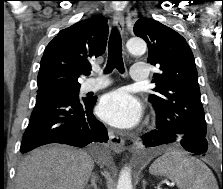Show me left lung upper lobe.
I'll list each match as a JSON object with an SVG mask.
<instances>
[{"mask_svg":"<svg viewBox=\"0 0 223 189\" xmlns=\"http://www.w3.org/2000/svg\"><path fill=\"white\" fill-rule=\"evenodd\" d=\"M134 33L148 45V60L160 73L153 77L155 94L149 101L162 130L206 138V121L200 100L198 74L186 40L173 29L150 18H140Z\"/></svg>","mask_w":223,"mask_h":189,"instance_id":"obj_1","label":"left lung upper lobe"}]
</instances>
